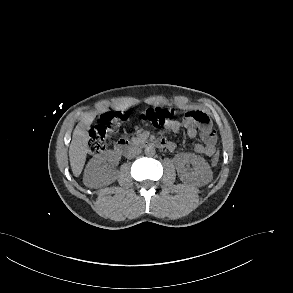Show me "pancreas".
<instances>
[{
  "label": "pancreas",
  "instance_id": "cf45deb5",
  "mask_svg": "<svg viewBox=\"0 0 293 293\" xmlns=\"http://www.w3.org/2000/svg\"><path fill=\"white\" fill-rule=\"evenodd\" d=\"M131 140L133 143L139 144L145 142L147 140V137L143 134H140L137 137H133Z\"/></svg>",
  "mask_w": 293,
  "mask_h": 293
}]
</instances>
